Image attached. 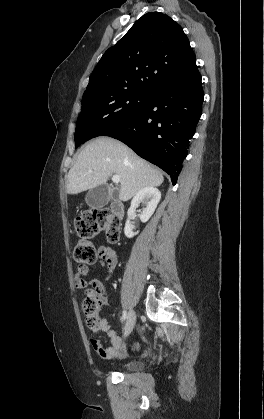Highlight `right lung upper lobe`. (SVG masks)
Segmentation results:
<instances>
[{
    "instance_id": "cb5924a9",
    "label": "right lung upper lobe",
    "mask_w": 264,
    "mask_h": 419,
    "mask_svg": "<svg viewBox=\"0 0 264 419\" xmlns=\"http://www.w3.org/2000/svg\"><path fill=\"white\" fill-rule=\"evenodd\" d=\"M197 75L196 57L181 26L166 14L150 12L105 52L84 96L133 88L152 91Z\"/></svg>"
}]
</instances>
